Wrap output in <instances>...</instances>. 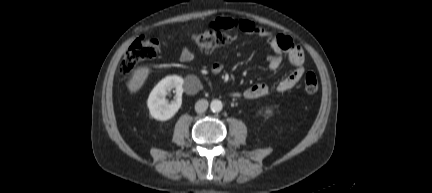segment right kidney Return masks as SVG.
Listing matches in <instances>:
<instances>
[{"instance_id":"1","label":"right kidney","mask_w":432,"mask_h":193,"mask_svg":"<svg viewBox=\"0 0 432 193\" xmlns=\"http://www.w3.org/2000/svg\"><path fill=\"white\" fill-rule=\"evenodd\" d=\"M182 77L177 75L167 76L163 78L151 91L147 105L151 116L160 121H167L174 117L178 112L182 104V93H183ZM172 88L176 89L175 101L169 104L165 100L167 91Z\"/></svg>"}]
</instances>
